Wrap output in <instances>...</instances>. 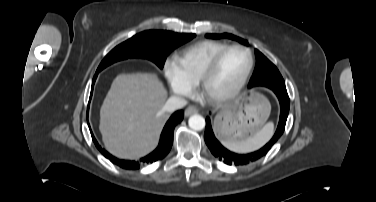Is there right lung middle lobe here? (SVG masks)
I'll return each instance as SVG.
<instances>
[{"label": "right lung middle lobe", "instance_id": "obj_1", "mask_svg": "<svg viewBox=\"0 0 376 202\" xmlns=\"http://www.w3.org/2000/svg\"><path fill=\"white\" fill-rule=\"evenodd\" d=\"M195 34L149 30L139 33L116 46L100 63L97 74L110 64L127 58H147L163 68L167 56L178 46L188 42Z\"/></svg>", "mask_w": 376, "mask_h": 202}]
</instances>
